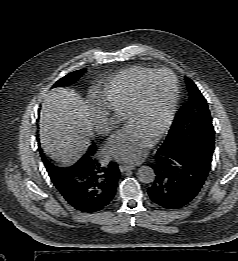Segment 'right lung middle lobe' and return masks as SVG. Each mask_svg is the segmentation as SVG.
I'll return each mask as SVG.
<instances>
[{
	"label": "right lung middle lobe",
	"mask_w": 238,
	"mask_h": 261,
	"mask_svg": "<svg viewBox=\"0 0 238 261\" xmlns=\"http://www.w3.org/2000/svg\"><path fill=\"white\" fill-rule=\"evenodd\" d=\"M85 71L84 70H77L74 72L69 73L68 75L64 76L60 80H58L55 84L54 87L56 86H68L72 83H74ZM42 159L44 163L46 164V167L48 169V172L56 173L59 169L62 167H57L50 163L42 154Z\"/></svg>",
	"instance_id": "1"
}]
</instances>
